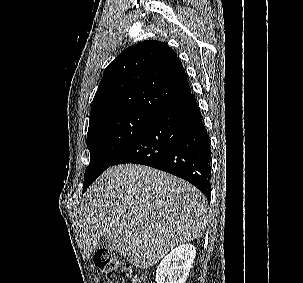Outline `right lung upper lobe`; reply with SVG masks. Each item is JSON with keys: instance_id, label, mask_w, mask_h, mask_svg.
I'll return each mask as SVG.
<instances>
[{"instance_id": "right-lung-upper-lobe-1", "label": "right lung upper lobe", "mask_w": 303, "mask_h": 283, "mask_svg": "<svg viewBox=\"0 0 303 283\" xmlns=\"http://www.w3.org/2000/svg\"><path fill=\"white\" fill-rule=\"evenodd\" d=\"M184 68L167 44L148 40L125 49L106 68L89 126L124 112L158 114L190 94Z\"/></svg>"}]
</instances>
